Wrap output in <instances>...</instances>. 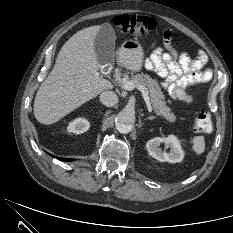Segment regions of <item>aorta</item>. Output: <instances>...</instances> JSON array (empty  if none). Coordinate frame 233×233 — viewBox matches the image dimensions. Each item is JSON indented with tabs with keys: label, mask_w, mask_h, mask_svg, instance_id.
Returning a JSON list of instances; mask_svg holds the SVG:
<instances>
[{
	"label": "aorta",
	"mask_w": 233,
	"mask_h": 233,
	"mask_svg": "<svg viewBox=\"0 0 233 233\" xmlns=\"http://www.w3.org/2000/svg\"><path fill=\"white\" fill-rule=\"evenodd\" d=\"M134 122V112L124 109L120 111L116 117V128L120 133L127 134L132 131Z\"/></svg>",
	"instance_id": "762f6f07"
}]
</instances>
